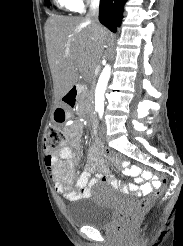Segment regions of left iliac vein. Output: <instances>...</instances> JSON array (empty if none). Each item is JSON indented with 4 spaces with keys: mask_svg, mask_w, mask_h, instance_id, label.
Wrapping results in <instances>:
<instances>
[{
    "mask_svg": "<svg viewBox=\"0 0 183 246\" xmlns=\"http://www.w3.org/2000/svg\"><path fill=\"white\" fill-rule=\"evenodd\" d=\"M100 136H101L103 139H105V137H106V125H105V124L102 125V128H101V130H100Z\"/></svg>",
    "mask_w": 183,
    "mask_h": 246,
    "instance_id": "1",
    "label": "left iliac vein"
}]
</instances>
